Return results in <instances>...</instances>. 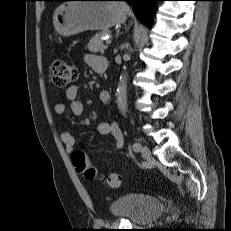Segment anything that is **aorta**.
<instances>
[{"instance_id":"762f6f07","label":"aorta","mask_w":231,"mask_h":231,"mask_svg":"<svg viewBox=\"0 0 231 231\" xmlns=\"http://www.w3.org/2000/svg\"><path fill=\"white\" fill-rule=\"evenodd\" d=\"M128 58L129 55H126ZM125 69V67H124ZM117 104L120 112L125 114L127 111V77L126 73H123L120 77V82L117 88Z\"/></svg>"}]
</instances>
